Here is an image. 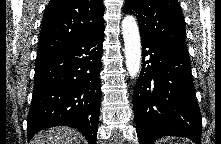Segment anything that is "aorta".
I'll return each mask as SVG.
<instances>
[{
	"instance_id": "obj_1",
	"label": "aorta",
	"mask_w": 221,
	"mask_h": 144,
	"mask_svg": "<svg viewBox=\"0 0 221 144\" xmlns=\"http://www.w3.org/2000/svg\"><path fill=\"white\" fill-rule=\"evenodd\" d=\"M122 33L125 44L126 67L131 77H135L141 65V42L139 29L132 16L122 21Z\"/></svg>"
}]
</instances>
